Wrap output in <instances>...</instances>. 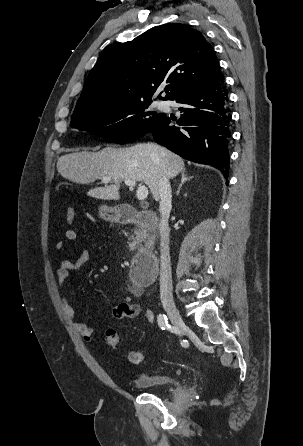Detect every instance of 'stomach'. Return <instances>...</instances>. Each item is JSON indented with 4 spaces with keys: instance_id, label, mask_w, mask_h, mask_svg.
Returning a JSON list of instances; mask_svg holds the SVG:
<instances>
[{
    "instance_id": "0dacf381",
    "label": "stomach",
    "mask_w": 303,
    "mask_h": 446,
    "mask_svg": "<svg viewBox=\"0 0 303 446\" xmlns=\"http://www.w3.org/2000/svg\"><path fill=\"white\" fill-rule=\"evenodd\" d=\"M99 215L107 221H114L119 217L117 210L108 206H101L99 208Z\"/></svg>"
}]
</instances>
